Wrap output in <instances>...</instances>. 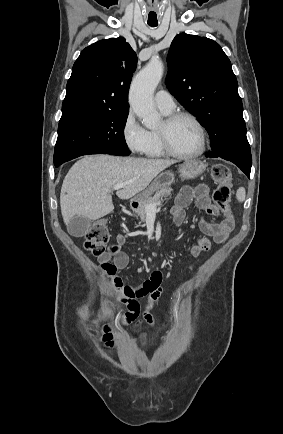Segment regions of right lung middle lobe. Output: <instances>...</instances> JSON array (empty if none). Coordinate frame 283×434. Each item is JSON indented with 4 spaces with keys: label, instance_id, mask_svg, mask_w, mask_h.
Masks as SVG:
<instances>
[{
    "label": "right lung middle lobe",
    "instance_id": "right-lung-middle-lobe-1",
    "mask_svg": "<svg viewBox=\"0 0 283 434\" xmlns=\"http://www.w3.org/2000/svg\"><path fill=\"white\" fill-rule=\"evenodd\" d=\"M129 110L80 113L61 117L54 165L86 154H130L124 137Z\"/></svg>",
    "mask_w": 283,
    "mask_h": 434
}]
</instances>
